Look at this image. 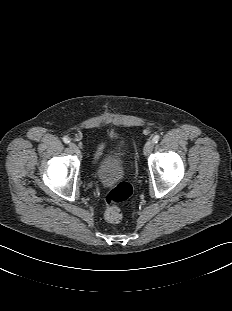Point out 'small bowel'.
Wrapping results in <instances>:
<instances>
[{
    "mask_svg": "<svg viewBox=\"0 0 232 311\" xmlns=\"http://www.w3.org/2000/svg\"><path fill=\"white\" fill-rule=\"evenodd\" d=\"M106 144L105 143H102L98 146L97 148V151L95 152L94 154V158H93V162L96 163L99 158L101 157L102 153H103V150L105 148Z\"/></svg>",
    "mask_w": 232,
    "mask_h": 311,
    "instance_id": "1",
    "label": "small bowel"
}]
</instances>
